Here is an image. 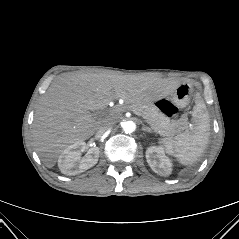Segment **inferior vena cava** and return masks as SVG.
I'll return each instance as SVG.
<instances>
[{
    "label": "inferior vena cava",
    "mask_w": 239,
    "mask_h": 239,
    "mask_svg": "<svg viewBox=\"0 0 239 239\" xmlns=\"http://www.w3.org/2000/svg\"><path fill=\"white\" fill-rule=\"evenodd\" d=\"M111 125H112V122L110 120L108 119L104 120V123L97 130V135L101 136L106 130L110 128Z\"/></svg>",
    "instance_id": "obj_1"
}]
</instances>
